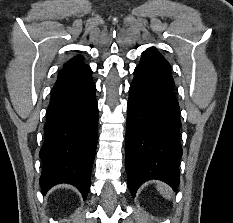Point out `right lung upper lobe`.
Masks as SVG:
<instances>
[{
    "instance_id": "1",
    "label": "right lung upper lobe",
    "mask_w": 233,
    "mask_h": 223,
    "mask_svg": "<svg viewBox=\"0 0 233 223\" xmlns=\"http://www.w3.org/2000/svg\"><path fill=\"white\" fill-rule=\"evenodd\" d=\"M82 61H83V57L81 55H78L74 59L69 60L64 66L82 63Z\"/></svg>"
}]
</instances>
